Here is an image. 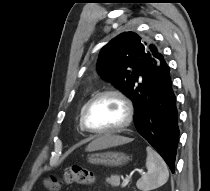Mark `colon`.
Returning a JSON list of instances; mask_svg holds the SVG:
<instances>
[{"label": "colon", "instance_id": "5ec220e1", "mask_svg": "<svg viewBox=\"0 0 210 191\" xmlns=\"http://www.w3.org/2000/svg\"><path fill=\"white\" fill-rule=\"evenodd\" d=\"M94 180L93 172L83 166H70L63 172L62 178L50 177L44 180V186L49 191H58L65 184H91Z\"/></svg>", "mask_w": 210, "mask_h": 191}]
</instances>
